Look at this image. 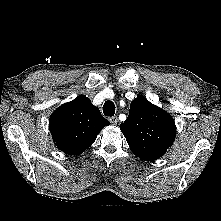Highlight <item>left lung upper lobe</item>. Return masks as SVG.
Listing matches in <instances>:
<instances>
[{
	"label": "left lung upper lobe",
	"instance_id": "1",
	"mask_svg": "<svg viewBox=\"0 0 221 221\" xmlns=\"http://www.w3.org/2000/svg\"><path fill=\"white\" fill-rule=\"evenodd\" d=\"M120 129L132 152L146 161L163 156L176 136L172 117L143 96L132 101L129 116Z\"/></svg>",
	"mask_w": 221,
	"mask_h": 221
}]
</instances>
